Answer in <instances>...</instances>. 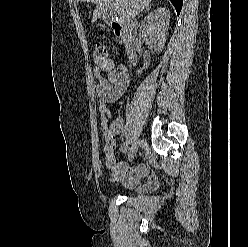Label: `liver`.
Here are the masks:
<instances>
[{
	"label": "liver",
	"mask_w": 248,
	"mask_h": 247,
	"mask_svg": "<svg viewBox=\"0 0 248 247\" xmlns=\"http://www.w3.org/2000/svg\"><path fill=\"white\" fill-rule=\"evenodd\" d=\"M76 2H92L96 4L92 22L97 21L108 10L117 12L122 19H130L147 8L151 0H76Z\"/></svg>",
	"instance_id": "1"
}]
</instances>
